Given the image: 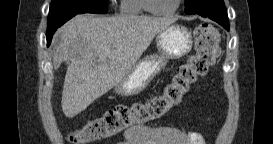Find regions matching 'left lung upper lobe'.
I'll return each mask as SVG.
<instances>
[{"label": "left lung upper lobe", "instance_id": "left-lung-upper-lobe-1", "mask_svg": "<svg viewBox=\"0 0 273 144\" xmlns=\"http://www.w3.org/2000/svg\"><path fill=\"white\" fill-rule=\"evenodd\" d=\"M210 5L225 7L223 0H186L185 13L188 15H192L195 14V12L199 9L208 8Z\"/></svg>", "mask_w": 273, "mask_h": 144}]
</instances>
